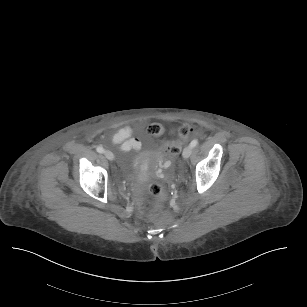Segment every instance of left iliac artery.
Segmentation results:
<instances>
[{
  "label": "left iliac artery",
  "mask_w": 307,
  "mask_h": 307,
  "mask_svg": "<svg viewBox=\"0 0 307 307\" xmlns=\"http://www.w3.org/2000/svg\"><path fill=\"white\" fill-rule=\"evenodd\" d=\"M197 145H198V140H196V139L192 140L191 143H190L191 147H195Z\"/></svg>",
  "instance_id": "obj_1"
}]
</instances>
